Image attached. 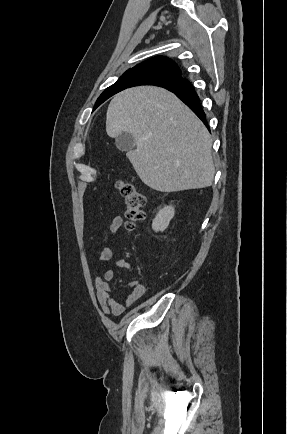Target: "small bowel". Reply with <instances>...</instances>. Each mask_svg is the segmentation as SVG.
<instances>
[{"label":"small bowel","instance_id":"obj_1","mask_svg":"<svg viewBox=\"0 0 287 434\" xmlns=\"http://www.w3.org/2000/svg\"><path fill=\"white\" fill-rule=\"evenodd\" d=\"M123 220L120 216L114 217L111 222L103 229V244L98 255L99 262H106L112 257V241L114 236L121 229ZM117 268H129L128 263L123 260H117L115 262ZM116 274L112 269H105L101 274H98L95 278L94 284L96 288V297L102 311L107 315H122L126 308L135 304L140 300L144 293L145 288L141 283H137L131 294L127 296L124 303L117 302L112 297L111 282L115 279Z\"/></svg>","mask_w":287,"mask_h":434}]
</instances>
